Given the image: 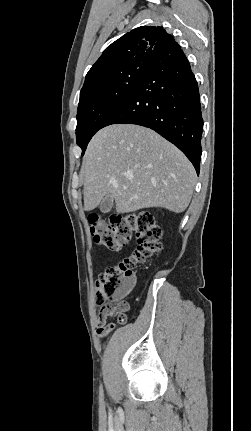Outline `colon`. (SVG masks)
I'll return each instance as SVG.
<instances>
[{"label": "colon", "mask_w": 251, "mask_h": 431, "mask_svg": "<svg viewBox=\"0 0 251 431\" xmlns=\"http://www.w3.org/2000/svg\"><path fill=\"white\" fill-rule=\"evenodd\" d=\"M93 241L108 250H118L133 237L137 247L132 254L101 273L96 282V301L110 315L117 316L119 325L125 324L129 304L122 298L134 282V267L144 263L162 249V230L148 211L111 216L108 221L98 214L88 216ZM115 327L111 324V328Z\"/></svg>", "instance_id": "obj_1"}]
</instances>
